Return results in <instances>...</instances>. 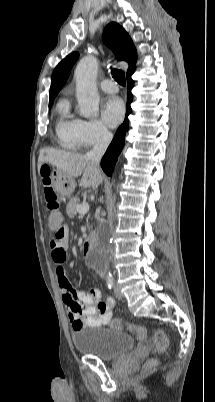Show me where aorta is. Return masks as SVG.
I'll use <instances>...</instances> for the list:
<instances>
[{
    "mask_svg": "<svg viewBox=\"0 0 215 402\" xmlns=\"http://www.w3.org/2000/svg\"><path fill=\"white\" fill-rule=\"evenodd\" d=\"M98 62L92 56L84 57L75 69L76 96L79 114L85 118L97 117L99 114V95L96 85ZM111 257L107 232L102 229L97 237V246L92 259L108 263Z\"/></svg>",
    "mask_w": 215,
    "mask_h": 402,
    "instance_id": "762f6f07",
    "label": "aorta"
}]
</instances>
